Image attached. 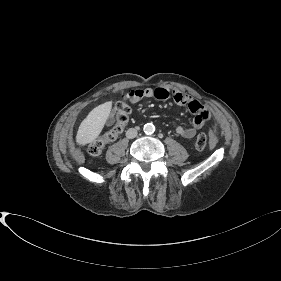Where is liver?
Returning <instances> with one entry per match:
<instances>
[{"instance_id": "1", "label": "liver", "mask_w": 281, "mask_h": 281, "mask_svg": "<svg viewBox=\"0 0 281 281\" xmlns=\"http://www.w3.org/2000/svg\"><path fill=\"white\" fill-rule=\"evenodd\" d=\"M112 109V101L95 107L81 122L76 135V143L84 146L94 141L101 133Z\"/></svg>"}]
</instances>
